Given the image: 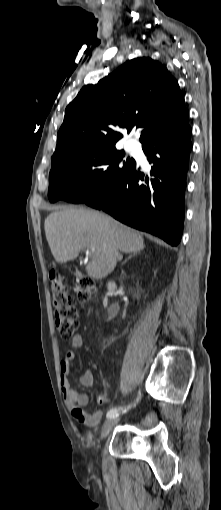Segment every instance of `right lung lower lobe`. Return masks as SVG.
<instances>
[{"mask_svg":"<svg viewBox=\"0 0 221 510\" xmlns=\"http://www.w3.org/2000/svg\"><path fill=\"white\" fill-rule=\"evenodd\" d=\"M191 133L187 124L177 131L147 139L142 148L153 164L150 173L144 175L135 166L112 188L85 203L177 246L183 232Z\"/></svg>","mask_w":221,"mask_h":510,"instance_id":"1","label":"right lung lower lobe"}]
</instances>
